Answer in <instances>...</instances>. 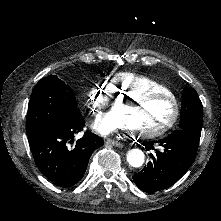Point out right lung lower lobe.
I'll return each instance as SVG.
<instances>
[{
	"label": "right lung lower lobe",
	"mask_w": 221,
	"mask_h": 221,
	"mask_svg": "<svg viewBox=\"0 0 221 221\" xmlns=\"http://www.w3.org/2000/svg\"><path fill=\"white\" fill-rule=\"evenodd\" d=\"M84 125L80 118L67 125L47 126L27 134L39 170L60 187H70L80 181L90 156L104 143L99 136L85 132L74 149H70L68 142H73L74 134L82 131Z\"/></svg>",
	"instance_id": "98d812e1"
}]
</instances>
